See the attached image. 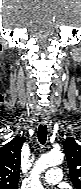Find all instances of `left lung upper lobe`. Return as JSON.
Instances as JSON below:
<instances>
[{
    "label": "left lung upper lobe",
    "instance_id": "1",
    "mask_svg": "<svg viewBox=\"0 0 81 189\" xmlns=\"http://www.w3.org/2000/svg\"><path fill=\"white\" fill-rule=\"evenodd\" d=\"M63 144L70 179L76 189H81V145L71 137L67 138Z\"/></svg>",
    "mask_w": 81,
    "mask_h": 189
}]
</instances>
